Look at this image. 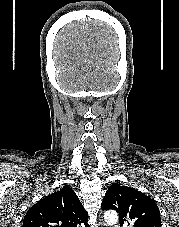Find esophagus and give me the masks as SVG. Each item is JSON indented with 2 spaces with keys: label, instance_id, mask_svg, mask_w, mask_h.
I'll list each match as a JSON object with an SVG mask.
<instances>
[{
  "label": "esophagus",
  "instance_id": "esophagus-1",
  "mask_svg": "<svg viewBox=\"0 0 179 227\" xmlns=\"http://www.w3.org/2000/svg\"><path fill=\"white\" fill-rule=\"evenodd\" d=\"M99 227H106V224L104 223L103 219L99 217V222H98Z\"/></svg>",
  "mask_w": 179,
  "mask_h": 227
}]
</instances>
